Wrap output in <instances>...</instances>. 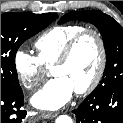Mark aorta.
I'll list each match as a JSON object with an SVG mask.
<instances>
[{
    "label": "aorta",
    "instance_id": "aorta-1",
    "mask_svg": "<svg viewBox=\"0 0 123 123\" xmlns=\"http://www.w3.org/2000/svg\"><path fill=\"white\" fill-rule=\"evenodd\" d=\"M55 123H73V120L67 115H60L59 117H57Z\"/></svg>",
    "mask_w": 123,
    "mask_h": 123
}]
</instances>
